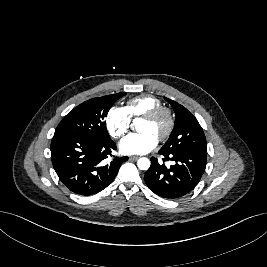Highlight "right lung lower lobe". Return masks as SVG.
Listing matches in <instances>:
<instances>
[{"label": "right lung lower lobe", "instance_id": "1", "mask_svg": "<svg viewBox=\"0 0 267 267\" xmlns=\"http://www.w3.org/2000/svg\"><path fill=\"white\" fill-rule=\"evenodd\" d=\"M116 150L109 138L54 136L51 159L61 182L78 195H92L105 189L116 177L128 157L106 158Z\"/></svg>", "mask_w": 267, "mask_h": 267}]
</instances>
